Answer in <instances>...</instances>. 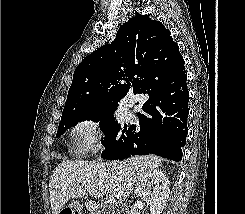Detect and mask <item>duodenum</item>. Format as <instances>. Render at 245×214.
Returning a JSON list of instances; mask_svg holds the SVG:
<instances>
[{
	"label": "duodenum",
	"mask_w": 245,
	"mask_h": 214,
	"mask_svg": "<svg viewBox=\"0 0 245 214\" xmlns=\"http://www.w3.org/2000/svg\"><path fill=\"white\" fill-rule=\"evenodd\" d=\"M87 206L92 214H129L125 207L115 204L104 207L94 201H88Z\"/></svg>",
	"instance_id": "duodenum-1"
}]
</instances>
